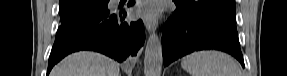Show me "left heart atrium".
Wrapping results in <instances>:
<instances>
[{"instance_id":"obj_1","label":"left heart atrium","mask_w":287,"mask_h":76,"mask_svg":"<svg viewBox=\"0 0 287 76\" xmlns=\"http://www.w3.org/2000/svg\"><path fill=\"white\" fill-rule=\"evenodd\" d=\"M137 11L141 15L155 17L161 11V4L154 0L146 1L138 8Z\"/></svg>"}]
</instances>
